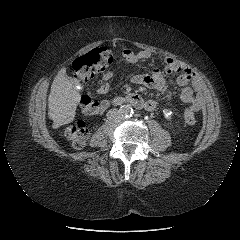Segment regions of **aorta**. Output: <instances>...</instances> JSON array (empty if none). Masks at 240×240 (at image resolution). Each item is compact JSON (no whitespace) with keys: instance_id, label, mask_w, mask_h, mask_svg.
Returning <instances> with one entry per match:
<instances>
[{"instance_id":"obj_1","label":"aorta","mask_w":240,"mask_h":240,"mask_svg":"<svg viewBox=\"0 0 240 240\" xmlns=\"http://www.w3.org/2000/svg\"><path fill=\"white\" fill-rule=\"evenodd\" d=\"M119 112L122 117H129L133 114V109L130 105H122Z\"/></svg>"}]
</instances>
